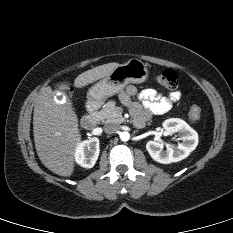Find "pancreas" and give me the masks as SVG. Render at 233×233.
I'll return each mask as SVG.
<instances>
[{"mask_svg":"<svg viewBox=\"0 0 233 233\" xmlns=\"http://www.w3.org/2000/svg\"><path fill=\"white\" fill-rule=\"evenodd\" d=\"M122 110L115 105L114 101L106 103L105 107L96 113L98 118L104 123H122L124 118L122 117Z\"/></svg>","mask_w":233,"mask_h":233,"instance_id":"obj_1","label":"pancreas"}]
</instances>
